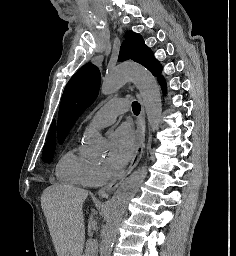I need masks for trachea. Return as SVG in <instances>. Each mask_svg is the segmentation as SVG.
<instances>
[{"instance_id": "3493384b", "label": "trachea", "mask_w": 236, "mask_h": 256, "mask_svg": "<svg viewBox=\"0 0 236 256\" xmlns=\"http://www.w3.org/2000/svg\"><path fill=\"white\" fill-rule=\"evenodd\" d=\"M141 110V106L137 101H133L132 103V111L135 115H139Z\"/></svg>"}]
</instances>
